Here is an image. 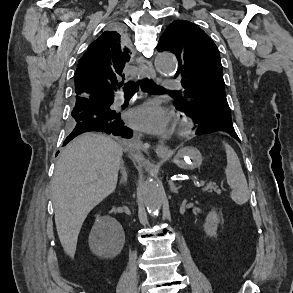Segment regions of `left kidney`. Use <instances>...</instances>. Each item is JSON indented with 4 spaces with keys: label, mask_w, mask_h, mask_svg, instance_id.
I'll return each mask as SVG.
<instances>
[{
    "label": "left kidney",
    "mask_w": 293,
    "mask_h": 293,
    "mask_svg": "<svg viewBox=\"0 0 293 293\" xmlns=\"http://www.w3.org/2000/svg\"><path fill=\"white\" fill-rule=\"evenodd\" d=\"M221 222L220 216L217 214L216 210L213 208L206 217L203 229L209 237L216 236L217 228Z\"/></svg>",
    "instance_id": "obj_1"
}]
</instances>
